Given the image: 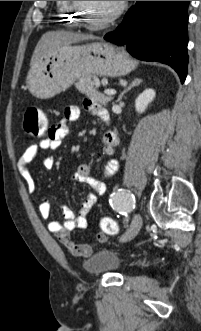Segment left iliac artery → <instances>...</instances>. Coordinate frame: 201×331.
I'll return each mask as SVG.
<instances>
[{
    "label": "left iliac artery",
    "instance_id": "obj_1",
    "mask_svg": "<svg viewBox=\"0 0 201 331\" xmlns=\"http://www.w3.org/2000/svg\"><path fill=\"white\" fill-rule=\"evenodd\" d=\"M111 207L121 215L127 216L135 209V198L130 192L118 189L111 195Z\"/></svg>",
    "mask_w": 201,
    "mask_h": 331
}]
</instances>
